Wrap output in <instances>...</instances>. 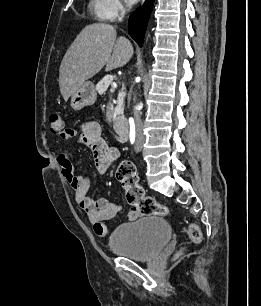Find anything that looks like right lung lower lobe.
<instances>
[{"label": "right lung lower lobe", "mask_w": 261, "mask_h": 306, "mask_svg": "<svg viewBox=\"0 0 261 306\" xmlns=\"http://www.w3.org/2000/svg\"><path fill=\"white\" fill-rule=\"evenodd\" d=\"M153 3L154 0H146L143 6L133 12L129 17V34L140 47L143 45V37L150 13L152 11Z\"/></svg>", "instance_id": "obj_1"}]
</instances>
